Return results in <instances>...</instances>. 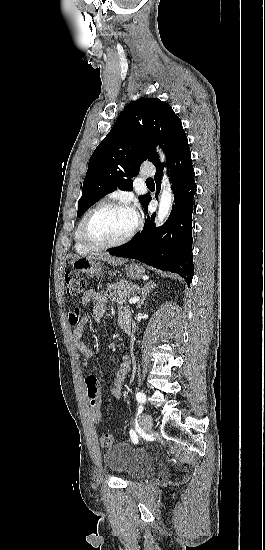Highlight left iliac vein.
Instances as JSON below:
<instances>
[{
    "label": "left iliac vein",
    "mask_w": 265,
    "mask_h": 550,
    "mask_svg": "<svg viewBox=\"0 0 265 550\" xmlns=\"http://www.w3.org/2000/svg\"><path fill=\"white\" fill-rule=\"evenodd\" d=\"M140 423L144 431L149 432L152 429L153 426V420L151 415L149 414H142L140 417Z\"/></svg>",
    "instance_id": "1"
}]
</instances>
